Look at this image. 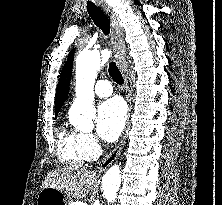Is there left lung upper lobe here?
Here are the masks:
<instances>
[{
	"label": "left lung upper lobe",
	"mask_w": 222,
	"mask_h": 205,
	"mask_svg": "<svg viewBox=\"0 0 222 205\" xmlns=\"http://www.w3.org/2000/svg\"><path fill=\"white\" fill-rule=\"evenodd\" d=\"M75 49H72L68 55V60L65 63V66L63 67L62 73L60 75L59 84L57 87V93L55 95V116L58 115V112L60 111V108L62 107L63 103L66 101L69 87H70V81H71V74H72V68H73V57H74Z\"/></svg>",
	"instance_id": "left-lung-upper-lobe-1"
}]
</instances>
